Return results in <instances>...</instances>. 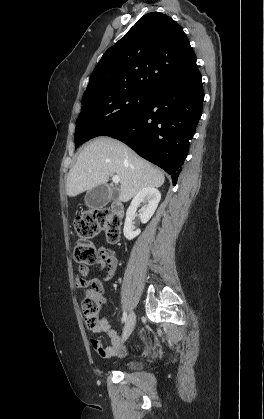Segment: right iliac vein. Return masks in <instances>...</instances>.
<instances>
[{
	"label": "right iliac vein",
	"instance_id": "63e3f726",
	"mask_svg": "<svg viewBox=\"0 0 264 419\" xmlns=\"http://www.w3.org/2000/svg\"><path fill=\"white\" fill-rule=\"evenodd\" d=\"M135 323H136V316L133 312H130L127 318L125 327H124V332L122 336L123 340H126L130 336V334L132 333L134 329Z\"/></svg>",
	"mask_w": 264,
	"mask_h": 419
}]
</instances>
